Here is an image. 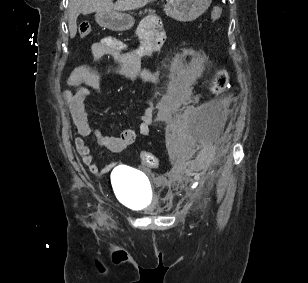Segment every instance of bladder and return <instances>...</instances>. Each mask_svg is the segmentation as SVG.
<instances>
[{
  "label": "bladder",
  "instance_id": "obj_1",
  "mask_svg": "<svg viewBox=\"0 0 308 283\" xmlns=\"http://www.w3.org/2000/svg\"><path fill=\"white\" fill-rule=\"evenodd\" d=\"M113 189L125 205L148 210L153 205V191L148 178L131 168L117 167L111 174Z\"/></svg>",
  "mask_w": 308,
  "mask_h": 283
}]
</instances>
